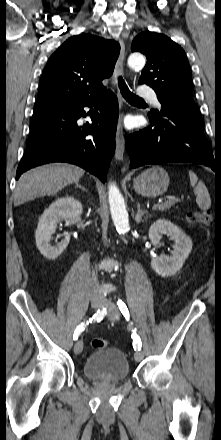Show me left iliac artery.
Segmentation results:
<instances>
[{"label": "left iliac artery", "instance_id": "obj_1", "mask_svg": "<svg viewBox=\"0 0 221 440\" xmlns=\"http://www.w3.org/2000/svg\"><path fill=\"white\" fill-rule=\"evenodd\" d=\"M117 305L121 311V313L124 315V317L129 320V311L127 306L125 305V303L122 300H118L117 301ZM132 338H133V347L134 349H138L141 350V346H142V342L140 337L136 334V330H133V334H132Z\"/></svg>", "mask_w": 221, "mask_h": 440}]
</instances>
